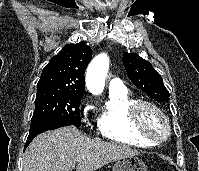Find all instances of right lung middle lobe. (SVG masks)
Segmentation results:
<instances>
[{
  "mask_svg": "<svg viewBox=\"0 0 199 171\" xmlns=\"http://www.w3.org/2000/svg\"><path fill=\"white\" fill-rule=\"evenodd\" d=\"M82 97L83 94L67 90L37 87L31 123L37 119L56 117L70 121L74 126L79 127L81 125L79 105Z\"/></svg>",
  "mask_w": 199,
  "mask_h": 171,
  "instance_id": "dd1d6c3e",
  "label": "right lung middle lobe"
}]
</instances>
